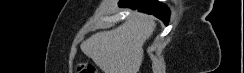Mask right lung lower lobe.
Segmentation results:
<instances>
[{"instance_id":"98d812e1","label":"right lung lower lobe","mask_w":244,"mask_h":73,"mask_svg":"<svg viewBox=\"0 0 244 73\" xmlns=\"http://www.w3.org/2000/svg\"><path fill=\"white\" fill-rule=\"evenodd\" d=\"M120 6L138 8L139 11L155 15L166 25L168 24L170 12L167 6L157 0H121Z\"/></svg>"}]
</instances>
